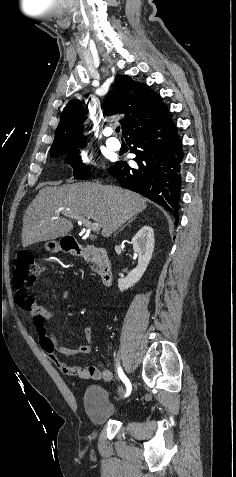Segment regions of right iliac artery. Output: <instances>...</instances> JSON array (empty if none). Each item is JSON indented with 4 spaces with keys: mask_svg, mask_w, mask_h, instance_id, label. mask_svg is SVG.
<instances>
[{
    "mask_svg": "<svg viewBox=\"0 0 236 477\" xmlns=\"http://www.w3.org/2000/svg\"><path fill=\"white\" fill-rule=\"evenodd\" d=\"M118 375H119L120 379L122 380V382L125 384V386L127 388L125 398L129 399L130 398V393H131V390H132V386H131V383H130L129 379L124 374V372H123V370L120 366L118 367Z\"/></svg>",
    "mask_w": 236,
    "mask_h": 477,
    "instance_id": "right-iliac-artery-1",
    "label": "right iliac artery"
}]
</instances>
